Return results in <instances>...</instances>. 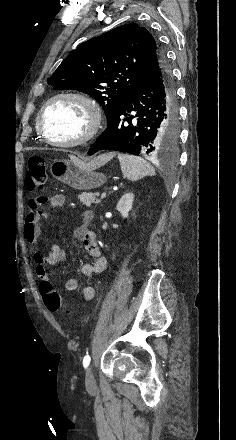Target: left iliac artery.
<instances>
[{"label":"left iliac artery","mask_w":236,"mask_h":440,"mask_svg":"<svg viewBox=\"0 0 236 440\" xmlns=\"http://www.w3.org/2000/svg\"><path fill=\"white\" fill-rule=\"evenodd\" d=\"M90 356L89 355H86L85 357H84V359H83V366H84V368H87L88 367V365H89V363H90Z\"/></svg>","instance_id":"obj_1"}]
</instances>
